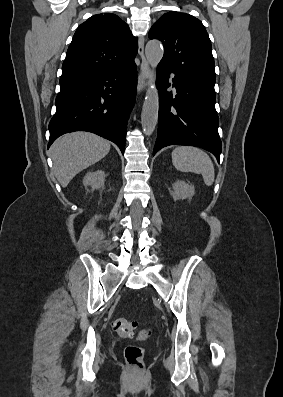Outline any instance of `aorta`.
<instances>
[{
  "mask_svg": "<svg viewBox=\"0 0 283 397\" xmlns=\"http://www.w3.org/2000/svg\"><path fill=\"white\" fill-rule=\"evenodd\" d=\"M163 46L158 40H150L146 44L145 54L148 63L154 69L157 67L163 57ZM159 110V96L155 85H150L146 92L145 101L143 103L141 113V123L143 132L146 136H150L157 125Z\"/></svg>",
  "mask_w": 283,
  "mask_h": 397,
  "instance_id": "762f6f07",
  "label": "aorta"
}]
</instances>
